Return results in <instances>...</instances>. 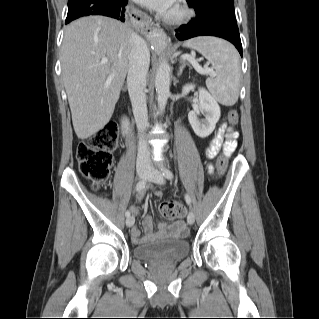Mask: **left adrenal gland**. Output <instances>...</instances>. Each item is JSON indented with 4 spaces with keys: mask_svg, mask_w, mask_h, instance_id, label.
Here are the masks:
<instances>
[{
    "mask_svg": "<svg viewBox=\"0 0 319 319\" xmlns=\"http://www.w3.org/2000/svg\"><path fill=\"white\" fill-rule=\"evenodd\" d=\"M186 66L185 62L182 63V65H180L179 67V71L177 73V76H180L183 72L184 67Z\"/></svg>",
    "mask_w": 319,
    "mask_h": 319,
    "instance_id": "a2214340",
    "label": "left adrenal gland"
}]
</instances>
